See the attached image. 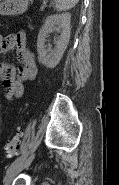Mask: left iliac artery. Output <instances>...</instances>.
Returning a JSON list of instances; mask_svg holds the SVG:
<instances>
[{
    "label": "left iliac artery",
    "mask_w": 119,
    "mask_h": 185,
    "mask_svg": "<svg viewBox=\"0 0 119 185\" xmlns=\"http://www.w3.org/2000/svg\"><path fill=\"white\" fill-rule=\"evenodd\" d=\"M26 155L27 154H24L20 156L19 158H17L14 162H12L11 165L7 169V173L11 171L16 165H18L26 157Z\"/></svg>",
    "instance_id": "1"
}]
</instances>
